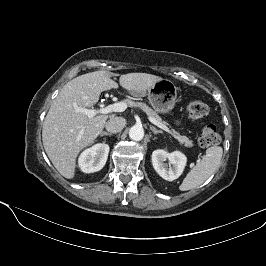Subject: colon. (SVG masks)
<instances>
[{
    "instance_id": "1",
    "label": "colon",
    "mask_w": 266,
    "mask_h": 266,
    "mask_svg": "<svg viewBox=\"0 0 266 266\" xmlns=\"http://www.w3.org/2000/svg\"><path fill=\"white\" fill-rule=\"evenodd\" d=\"M209 112L208 106L198 100L190 101L186 105V114L190 119L198 120L207 116ZM220 134L214 125L206 126L199 136V144L201 147L208 148L215 146L220 142Z\"/></svg>"
}]
</instances>
